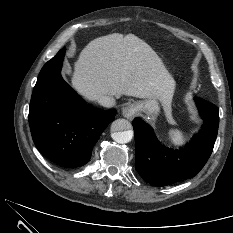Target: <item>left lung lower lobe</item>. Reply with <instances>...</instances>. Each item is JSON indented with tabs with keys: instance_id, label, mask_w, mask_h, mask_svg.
Instances as JSON below:
<instances>
[{
	"instance_id": "left-lung-lower-lobe-1",
	"label": "left lung lower lobe",
	"mask_w": 233,
	"mask_h": 233,
	"mask_svg": "<svg viewBox=\"0 0 233 233\" xmlns=\"http://www.w3.org/2000/svg\"><path fill=\"white\" fill-rule=\"evenodd\" d=\"M194 100L204 124L192 144L181 150L162 146L148 124L141 119H134L135 168L146 182L162 187L189 179L209 159L217 137L219 109L202 98L196 97Z\"/></svg>"
}]
</instances>
